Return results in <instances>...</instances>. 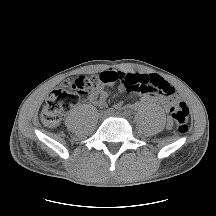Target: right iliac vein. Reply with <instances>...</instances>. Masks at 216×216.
I'll use <instances>...</instances> for the list:
<instances>
[{
	"label": "right iliac vein",
	"mask_w": 216,
	"mask_h": 216,
	"mask_svg": "<svg viewBox=\"0 0 216 216\" xmlns=\"http://www.w3.org/2000/svg\"><path fill=\"white\" fill-rule=\"evenodd\" d=\"M106 114H107L106 112L102 113L101 118H104L106 116Z\"/></svg>",
	"instance_id": "right-iliac-vein-1"
}]
</instances>
